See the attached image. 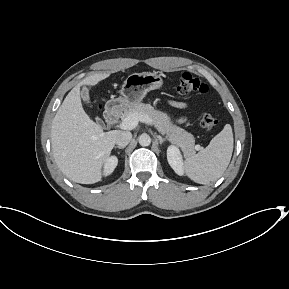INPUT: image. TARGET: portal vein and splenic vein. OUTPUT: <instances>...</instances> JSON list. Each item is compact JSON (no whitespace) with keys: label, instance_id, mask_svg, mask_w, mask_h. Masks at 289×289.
I'll list each match as a JSON object with an SVG mask.
<instances>
[{"label":"portal vein and splenic vein","instance_id":"obj_1","mask_svg":"<svg viewBox=\"0 0 289 289\" xmlns=\"http://www.w3.org/2000/svg\"><path fill=\"white\" fill-rule=\"evenodd\" d=\"M141 121L143 123H146L148 125H152L153 121L150 117L147 115H137V114H132L127 117H125L122 122L120 123L119 127L123 130H132L134 129L137 125L138 122ZM195 150H200L201 147L199 145H196Z\"/></svg>","mask_w":289,"mask_h":289}]
</instances>
